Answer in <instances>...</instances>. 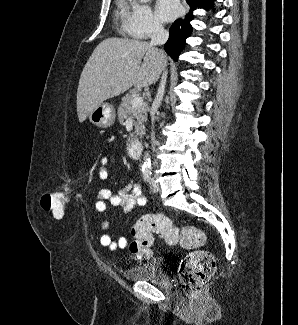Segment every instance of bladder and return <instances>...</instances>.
<instances>
[{
  "label": "bladder",
  "instance_id": "1",
  "mask_svg": "<svg viewBox=\"0 0 298 325\" xmlns=\"http://www.w3.org/2000/svg\"><path fill=\"white\" fill-rule=\"evenodd\" d=\"M123 276L128 281L148 282L166 289H170L173 285L170 277L164 272L161 262L157 259L125 269Z\"/></svg>",
  "mask_w": 298,
  "mask_h": 325
}]
</instances>
